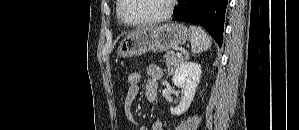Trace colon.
<instances>
[{
  "instance_id": "colon-1",
  "label": "colon",
  "mask_w": 299,
  "mask_h": 130,
  "mask_svg": "<svg viewBox=\"0 0 299 130\" xmlns=\"http://www.w3.org/2000/svg\"><path fill=\"white\" fill-rule=\"evenodd\" d=\"M141 82V74L138 71H131L127 75V83L128 87L130 88H135L140 85Z\"/></svg>"
}]
</instances>
